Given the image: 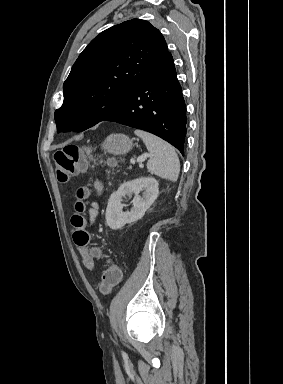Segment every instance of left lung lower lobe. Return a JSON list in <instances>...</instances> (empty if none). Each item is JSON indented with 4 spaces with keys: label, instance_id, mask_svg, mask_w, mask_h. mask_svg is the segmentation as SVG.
Here are the masks:
<instances>
[{
    "label": "left lung lower lobe",
    "instance_id": "1",
    "mask_svg": "<svg viewBox=\"0 0 283 384\" xmlns=\"http://www.w3.org/2000/svg\"><path fill=\"white\" fill-rule=\"evenodd\" d=\"M102 121L155 134L184 155L186 107L169 51L136 84L124 102Z\"/></svg>",
    "mask_w": 283,
    "mask_h": 384
}]
</instances>
